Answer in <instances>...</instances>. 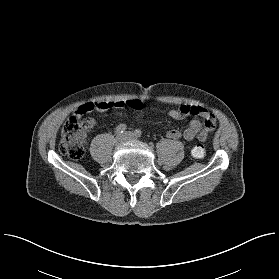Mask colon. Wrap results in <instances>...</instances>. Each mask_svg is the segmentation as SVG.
Listing matches in <instances>:
<instances>
[{"instance_id": "5ec220e1", "label": "colon", "mask_w": 279, "mask_h": 279, "mask_svg": "<svg viewBox=\"0 0 279 279\" xmlns=\"http://www.w3.org/2000/svg\"><path fill=\"white\" fill-rule=\"evenodd\" d=\"M129 108L138 110L142 107L139 100H128L125 103ZM95 126L93 118L80 119L78 117H70L63 124L61 129V139L59 143V151L63 155L69 156L73 160L81 159L85 154L84 140L87 133ZM205 149L201 145L194 146L191 149L193 157H203Z\"/></svg>"}]
</instances>
